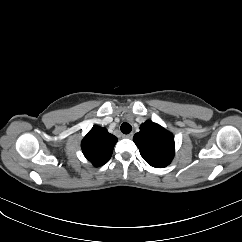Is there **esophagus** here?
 I'll use <instances>...</instances> for the list:
<instances>
[{"instance_id":"1","label":"esophagus","mask_w":242,"mask_h":242,"mask_svg":"<svg viewBox=\"0 0 242 242\" xmlns=\"http://www.w3.org/2000/svg\"><path fill=\"white\" fill-rule=\"evenodd\" d=\"M133 135H134V133L131 132V133L125 135V137L128 138V139H132L133 138Z\"/></svg>"}]
</instances>
